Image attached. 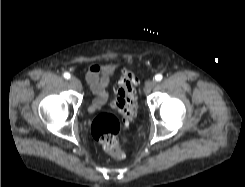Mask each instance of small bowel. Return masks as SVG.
<instances>
[{
    "label": "small bowel",
    "instance_id": "small-bowel-1",
    "mask_svg": "<svg viewBox=\"0 0 245 187\" xmlns=\"http://www.w3.org/2000/svg\"><path fill=\"white\" fill-rule=\"evenodd\" d=\"M111 73L112 67L109 65L94 64L89 67L87 82L94 94V99L89 108L90 112H95L107 103Z\"/></svg>",
    "mask_w": 245,
    "mask_h": 187
}]
</instances>
